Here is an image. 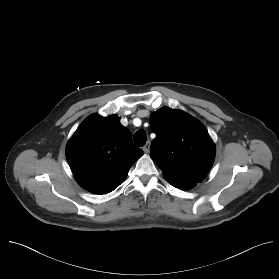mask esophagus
I'll use <instances>...</instances> for the list:
<instances>
[{"label": "esophagus", "instance_id": "obj_1", "mask_svg": "<svg viewBox=\"0 0 279 279\" xmlns=\"http://www.w3.org/2000/svg\"><path fill=\"white\" fill-rule=\"evenodd\" d=\"M150 142L148 141L146 145L143 147V151L147 154L149 152Z\"/></svg>", "mask_w": 279, "mask_h": 279}]
</instances>
